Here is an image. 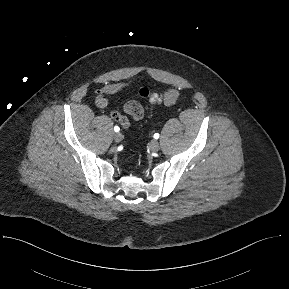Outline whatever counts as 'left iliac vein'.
I'll return each instance as SVG.
<instances>
[{
  "mask_svg": "<svg viewBox=\"0 0 289 289\" xmlns=\"http://www.w3.org/2000/svg\"><path fill=\"white\" fill-rule=\"evenodd\" d=\"M150 149L153 152H157L160 149V145L157 140H152L150 142Z\"/></svg>",
  "mask_w": 289,
  "mask_h": 289,
  "instance_id": "left-iliac-vein-1",
  "label": "left iliac vein"
}]
</instances>
